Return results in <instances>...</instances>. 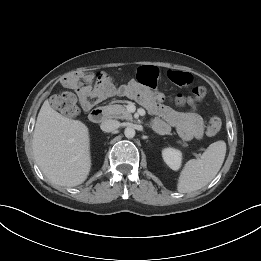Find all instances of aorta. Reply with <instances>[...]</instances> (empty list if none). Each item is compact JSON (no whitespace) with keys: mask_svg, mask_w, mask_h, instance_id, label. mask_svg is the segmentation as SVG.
I'll return each mask as SVG.
<instances>
[{"mask_svg":"<svg viewBox=\"0 0 261 261\" xmlns=\"http://www.w3.org/2000/svg\"><path fill=\"white\" fill-rule=\"evenodd\" d=\"M125 137L131 139L135 136V130L132 127H127L124 130Z\"/></svg>","mask_w":261,"mask_h":261,"instance_id":"762f6f07","label":"aorta"}]
</instances>
